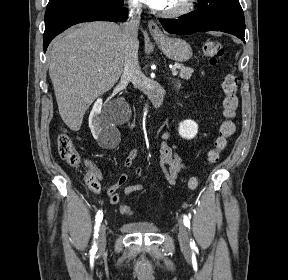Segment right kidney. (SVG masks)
I'll return each mask as SVG.
<instances>
[{
  "label": "right kidney",
  "instance_id": "1",
  "mask_svg": "<svg viewBox=\"0 0 288 280\" xmlns=\"http://www.w3.org/2000/svg\"><path fill=\"white\" fill-rule=\"evenodd\" d=\"M102 105V99H97L94 103L89 116V127L98 144L103 148H110L116 134V129L108 124L106 118L102 115Z\"/></svg>",
  "mask_w": 288,
  "mask_h": 280
}]
</instances>
